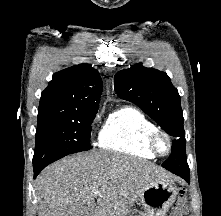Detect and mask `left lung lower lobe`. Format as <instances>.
I'll use <instances>...</instances> for the list:
<instances>
[{"label": "left lung lower lobe", "instance_id": "0a47b994", "mask_svg": "<svg viewBox=\"0 0 221 216\" xmlns=\"http://www.w3.org/2000/svg\"><path fill=\"white\" fill-rule=\"evenodd\" d=\"M173 158L175 162V168L171 169V172L181 176L186 181L189 182V168L187 164L186 154L181 152L173 153ZM170 171V170H169Z\"/></svg>", "mask_w": 221, "mask_h": 216}]
</instances>
